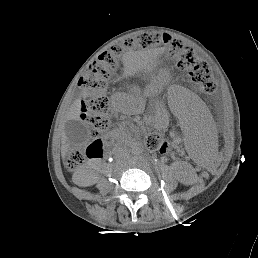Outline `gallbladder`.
<instances>
[{
	"instance_id": "obj_1",
	"label": "gallbladder",
	"mask_w": 258,
	"mask_h": 258,
	"mask_svg": "<svg viewBox=\"0 0 258 258\" xmlns=\"http://www.w3.org/2000/svg\"><path fill=\"white\" fill-rule=\"evenodd\" d=\"M65 132L68 140L75 145L83 144L89 140L88 127L80 120L66 122Z\"/></svg>"
}]
</instances>
